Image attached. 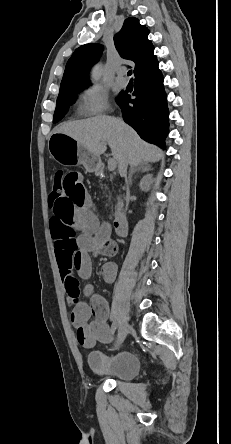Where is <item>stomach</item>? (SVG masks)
I'll return each mask as SVG.
<instances>
[{"instance_id": "stomach-1", "label": "stomach", "mask_w": 231, "mask_h": 444, "mask_svg": "<svg viewBox=\"0 0 231 444\" xmlns=\"http://www.w3.org/2000/svg\"><path fill=\"white\" fill-rule=\"evenodd\" d=\"M48 148L52 158L63 165L82 164L88 172H95L100 168V157L64 133H54L49 139Z\"/></svg>"}]
</instances>
